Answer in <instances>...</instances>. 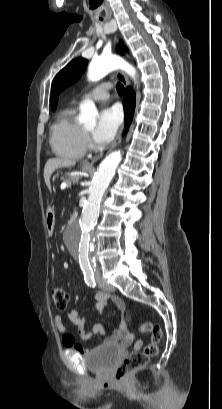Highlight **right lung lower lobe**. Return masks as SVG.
Listing matches in <instances>:
<instances>
[{
  "mask_svg": "<svg viewBox=\"0 0 222 409\" xmlns=\"http://www.w3.org/2000/svg\"><path fill=\"white\" fill-rule=\"evenodd\" d=\"M123 104L125 111V127L127 128L132 121L135 109V94L131 88L126 89Z\"/></svg>",
  "mask_w": 222,
  "mask_h": 409,
  "instance_id": "1",
  "label": "right lung lower lobe"
}]
</instances>
